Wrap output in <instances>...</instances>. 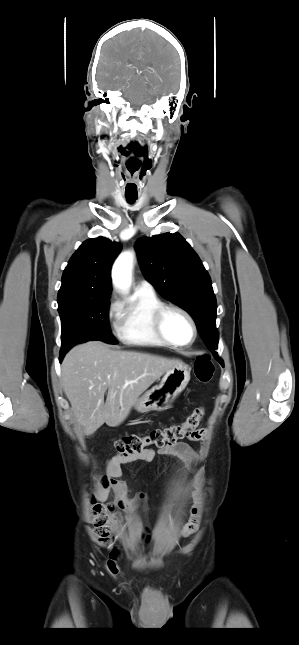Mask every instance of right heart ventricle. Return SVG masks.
I'll list each match as a JSON object with an SVG mask.
<instances>
[{
	"mask_svg": "<svg viewBox=\"0 0 299 645\" xmlns=\"http://www.w3.org/2000/svg\"><path fill=\"white\" fill-rule=\"evenodd\" d=\"M162 304L155 293L135 290L130 301L120 307L117 314L116 332L119 339L133 346H165L153 327V315Z\"/></svg>",
	"mask_w": 299,
	"mask_h": 645,
	"instance_id": "1",
	"label": "right heart ventricle"
}]
</instances>
